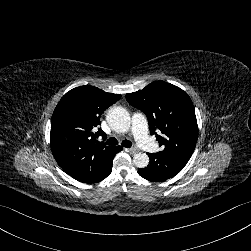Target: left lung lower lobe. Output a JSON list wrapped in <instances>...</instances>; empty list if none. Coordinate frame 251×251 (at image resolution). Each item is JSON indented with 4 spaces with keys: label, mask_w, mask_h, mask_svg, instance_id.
I'll list each match as a JSON object with an SVG mask.
<instances>
[{
    "label": "left lung lower lobe",
    "mask_w": 251,
    "mask_h": 251,
    "mask_svg": "<svg viewBox=\"0 0 251 251\" xmlns=\"http://www.w3.org/2000/svg\"><path fill=\"white\" fill-rule=\"evenodd\" d=\"M150 159L149 165L138 169V174L146 180L163 182L177 175L187 164L186 161L170 157L162 152L147 153Z\"/></svg>",
    "instance_id": "1"
}]
</instances>
